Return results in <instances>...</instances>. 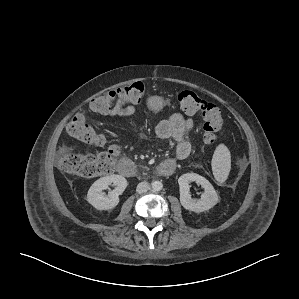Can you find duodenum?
Returning <instances> with one entry per match:
<instances>
[{
	"mask_svg": "<svg viewBox=\"0 0 299 299\" xmlns=\"http://www.w3.org/2000/svg\"><path fill=\"white\" fill-rule=\"evenodd\" d=\"M175 170V163L172 160H165L156 167V172L160 176H170ZM118 171L124 176H134L136 170L133 163L130 160L123 159L118 164Z\"/></svg>",
	"mask_w": 299,
	"mask_h": 299,
	"instance_id": "1",
	"label": "duodenum"
}]
</instances>
